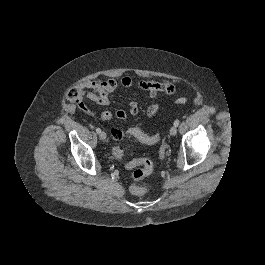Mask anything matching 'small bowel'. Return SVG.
Instances as JSON below:
<instances>
[{"label":"small bowel","instance_id":"c3829d8e","mask_svg":"<svg viewBox=\"0 0 265 265\" xmlns=\"http://www.w3.org/2000/svg\"><path fill=\"white\" fill-rule=\"evenodd\" d=\"M119 86L124 88H130L132 86H137L138 88L147 91L152 97L156 96L159 92H164L166 94H172L174 92V85L171 82H155V81H133L129 76H122L118 81L113 78H108L105 80H90L83 82L79 86V92L81 95L86 96L89 100L95 102L98 105L105 106L110 103V95L115 93ZM169 87L170 92H165V88ZM80 107L88 111L83 104ZM159 110L158 104H152L147 109V115L153 117ZM129 112L131 115H137L139 112L138 104L136 102H131L129 104ZM116 116L119 119L126 118V112L123 109H118L116 111ZM103 121H110L113 117L110 111H104L100 115ZM119 130V129H112Z\"/></svg>","mask_w":265,"mask_h":265}]
</instances>
